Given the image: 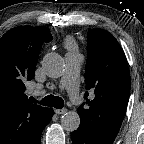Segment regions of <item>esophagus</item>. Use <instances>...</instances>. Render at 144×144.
Returning a JSON list of instances; mask_svg holds the SVG:
<instances>
[{"mask_svg":"<svg viewBox=\"0 0 144 144\" xmlns=\"http://www.w3.org/2000/svg\"><path fill=\"white\" fill-rule=\"evenodd\" d=\"M55 113L59 114V115H62V114L67 113V109H65V108H63V109H56Z\"/></svg>","mask_w":144,"mask_h":144,"instance_id":"esophagus-1","label":"esophagus"}]
</instances>
